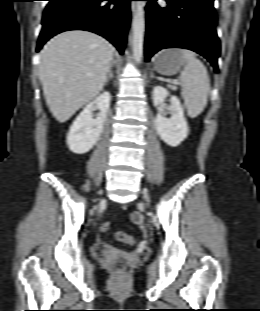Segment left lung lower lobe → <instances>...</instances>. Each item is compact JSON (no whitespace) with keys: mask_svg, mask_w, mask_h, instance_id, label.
<instances>
[{"mask_svg":"<svg viewBox=\"0 0 260 311\" xmlns=\"http://www.w3.org/2000/svg\"><path fill=\"white\" fill-rule=\"evenodd\" d=\"M147 1L146 61L161 49L184 48L207 58L218 72L214 0H166L167 7H160L157 0Z\"/></svg>","mask_w":260,"mask_h":311,"instance_id":"left-lung-lower-lobe-1","label":"left lung lower lobe"}]
</instances>
